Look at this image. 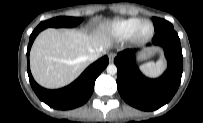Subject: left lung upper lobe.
Wrapping results in <instances>:
<instances>
[{"label": "left lung upper lobe", "instance_id": "obj_1", "mask_svg": "<svg viewBox=\"0 0 203 123\" xmlns=\"http://www.w3.org/2000/svg\"><path fill=\"white\" fill-rule=\"evenodd\" d=\"M152 20L154 23L155 33L161 32L165 29H173L172 24L164 19L153 17Z\"/></svg>", "mask_w": 203, "mask_h": 123}]
</instances>
